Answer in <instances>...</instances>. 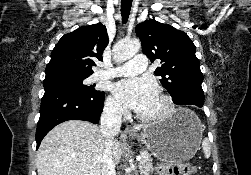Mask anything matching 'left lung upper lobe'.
<instances>
[{
	"label": "left lung upper lobe",
	"instance_id": "left-lung-upper-lobe-1",
	"mask_svg": "<svg viewBox=\"0 0 251 175\" xmlns=\"http://www.w3.org/2000/svg\"><path fill=\"white\" fill-rule=\"evenodd\" d=\"M136 34L150 61L161 60L162 66L154 73L162 77L160 82L172 99L182 94L204 99L203 74L196 48L185 32L150 19L138 24Z\"/></svg>",
	"mask_w": 251,
	"mask_h": 175
}]
</instances>
